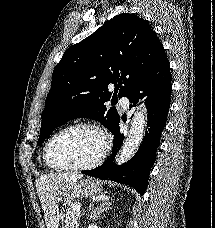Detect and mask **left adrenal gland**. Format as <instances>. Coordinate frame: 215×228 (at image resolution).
<instances>
[{
  "mask_svg": "<svg viewBox=\"0 0 215 228\" xmlns=\"http://www.w3.org/2000/svg\"><path fill=\"white\" fill-rule=\"evenodd\" d=\"M109 206H111V202H108V200H105V202H102V204H98L93 216H91L93 222L94 220H98V218H100L104 210H109Z\"/></svg>",
  "mask_w": 215,
  "mask_h": 228,
  "instance_id": "obj_1",
  "label": "left adrenal gland"
}]
</instances>
